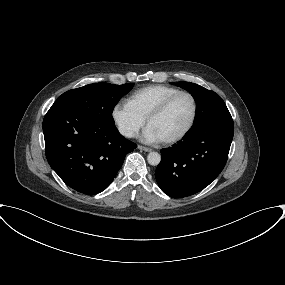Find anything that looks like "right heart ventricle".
Wrapping results in <instances>:
<instances>
[{
  "instance_id": "1",
  "label": "right heart ventricle",
  "mask_w": 285,
  "mask_h": 285,
  "mask_svg": "<svg viewBox=\"0 0 285 285\" xmlns=\"http://www.w3.org/2000/svg\"><path fill=\"white\" fill-rule=\"evenodd\" d=\"M180 90L166 85H149L133 92L129 103L146 120L148 115L166 98Z\"/></svg>"
}]
</instances>
